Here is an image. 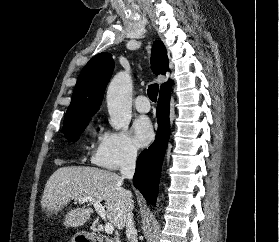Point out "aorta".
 I'll list each match as a JSON object with an SVG mask.
<instances>
[{"label": "aorta", "instance_id": "aorta-1", "mask_svg": "<svg viewBox=\"0 0 279 242\" xmlns=\"http://www.w3.org/2000/svg\"><path fill=\"white\" fill-rule=\"evenodd\" d=\"M132 83L125 72L118 73L110 82L107 90L109 123L116 129H127L132 116Z\"/></svg>", "mask_w": 279, "mask_h": 242}]
</instances>
